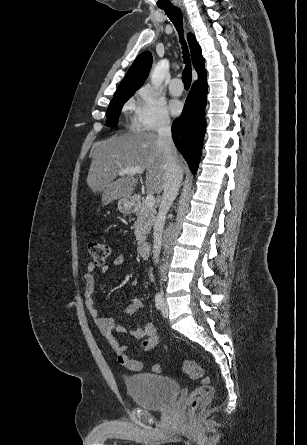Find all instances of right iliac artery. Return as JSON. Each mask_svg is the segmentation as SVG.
Instances as JSON below:
<instances>
[{"label": "right iliac artery", "instance_id": "obj_1", "mask_svg": "<svg viewBox=\"0 0 307 445\" xmlns=\"http://www.w3.org/2000/svg\"><path fill=\"white\" fill-rule=\"evenodd\" d=\"M162 304H163L162 295L160 293H158L155 296V306L158 310H160L162 308Z\"/></svg>", "mask_w": 307, "mask_h": 445}]
</instances>
